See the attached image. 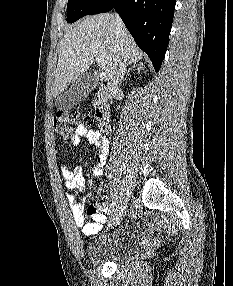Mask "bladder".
I'll list each match as a JSON object with an SVG mask.
<instances>
[{
	"instance_id": "obj_1",
	"label": "bladder",
	"mask_w": 233,
	"mask_h": 286,
	"mask_svg": "<svg viewBox=\"0 0 233 286\" xmlns=\"http://www.w3.org/2000/svg\"><path fill=\"white\" fill-rule=\"evenodd\" d=\"M140 238L132 227L120 229L93 241L85 250L90 263H122L130 259L138 249Z\"/></svg>"
}]
</instances>
